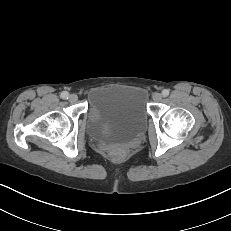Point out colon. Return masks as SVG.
Listing matches in <instances>:
<instances>
[{
    "mask_svg": "<svg viewBox=\"0 0 231 231\" xmlns=\"http://www.w3.org/2000/svg\"><path fill=\"white\" fill-rule=\"evenodd\" d=\"M126 151V147L122 145H112L108 148L109 154L116 159L123 158L126 154Z\"/></svg>",
    "mask_w": 231,
    "mask_h": 231,
    "instance_id": "obj_1",
    "label": "colon"
}]
</instances>
